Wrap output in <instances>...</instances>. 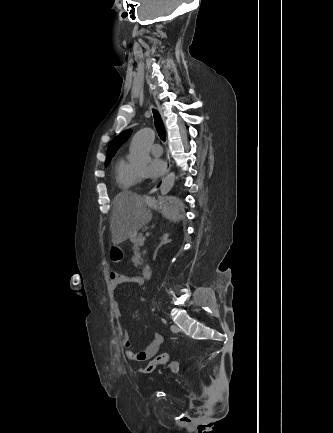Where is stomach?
I'll list each match as a JSON object with an SVG mask.
<instances>
[{"instance_id": "1", "label": "stomach", "mask_w": 333, "mask_h": 433, "mask_svg": "<svg viewBox=\"0 0 333 433\" xmlns=\"http://www.w3.org/2000/svg\"><path fill=\"white\" fill-rule=\"evenodd\" d=\"M148 203V202H147ZM152 205L157 207V203L154 201ZM186 204L184 201L176 200L174 195L167 197L166 206H163L162 212L165 220H180L181 215L185 213Z\"/></svg>"}]
</instances>
